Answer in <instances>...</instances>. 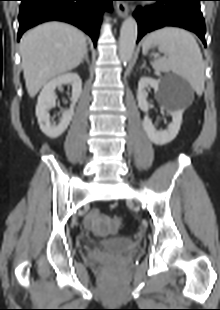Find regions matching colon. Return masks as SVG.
<instances>
[{
    "label": "colon",
    "mask_w": 220,
    "mask_h": 310,
    "mask_svg": "<svg viewBox=\"0 0 220 310\" xmlns=\"http://www.w3.org/2000/svg\"><path fill=\"white\" fill-rule=\"evenodd\" d=\"M121 225H122V219L120 217H113L109 223V226L113 230L119 229Z\"/></svg>",
    "instance_id": "colon-1"
}]
</instances>
